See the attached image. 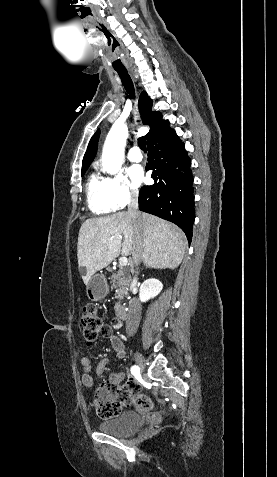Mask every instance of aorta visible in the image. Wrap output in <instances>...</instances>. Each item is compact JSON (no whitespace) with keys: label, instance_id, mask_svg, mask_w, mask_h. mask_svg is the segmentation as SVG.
I'll list each match as a JSON object with an SVG mask.
<instances>
[{"label":"aorta","instance_id":"1","mask_svg":"<svg viewBox=\"0 0 277 477\" xmlns=\"http://www.w3.org/2000/svg\"><path fill=\"white\" fill-rule=\"evenodd\" d=\"M127 137V126L114 123L106 137L102 152V167L107 173L116 174L121 169Z\"/></svg>","mask_w":277,"mask_h":477}]
</instances>
